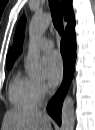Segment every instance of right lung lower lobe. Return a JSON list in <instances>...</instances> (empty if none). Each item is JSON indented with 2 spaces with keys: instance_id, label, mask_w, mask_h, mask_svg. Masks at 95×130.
Returning <instances> with one entry per match:
<instances>
[{
  "instance_id": "1",
  "label": "right lung lower lobe",
  "mask_w": 95,
  "mask_h": 130,
  "mask_svg": "<svg viewBox=\"0 0 95 130\" xmlns=\"http://www.w3.org/2000/svg\"><path fill=\"white\" fill-rule=\"evenodd\" d=\"M61 54L64 60V80L61 88L50 101L47 111L54 120L61 124V107L65 93L70 85L76 59V41L74 28L65 32L61 41Z\"/></svg>"
}]
</instances>
